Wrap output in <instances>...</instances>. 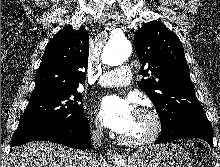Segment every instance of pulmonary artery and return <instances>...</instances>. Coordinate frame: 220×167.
I'll return each instance as SVG.
<instances>
[{"mask_svg":"<svg viewBox=\"0 0 220 167\" xmlns=\"http://www.w3.org/2000/svg\"><path fill=\"white\" fill-rule=\"evenodd\" d=\"M130 82L131 70L128 66L109 70L103 73L98 79V84L103 87H124L129 85Z\"/></svg>","mask_w":220,"mask_h":167,"instance_id":"e3ab8cb5","label":"pulmonary artery"}]
</instances>
